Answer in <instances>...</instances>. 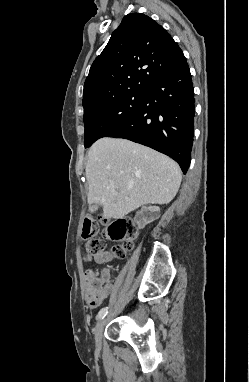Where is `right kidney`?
I'll return each mask as SVG.
<instances>
[{"label": "right kidney", "mask_w": 249, "mask_h": 382, "mask_svg": "<svg viewBox=\"0 0 249 382\" xmlns=\"http://www.w3.org/2000/svg\"><path fill=\"white\" fill-rule=\"evenodd\" d=\"M141 211L136 213L134 223L138 224L140 229L144 228L147 224L153 222L160 217V208L151 206L149 204H143Z\"/></svg>", "instance_id": "ca27d5eb"}]
</instances>
